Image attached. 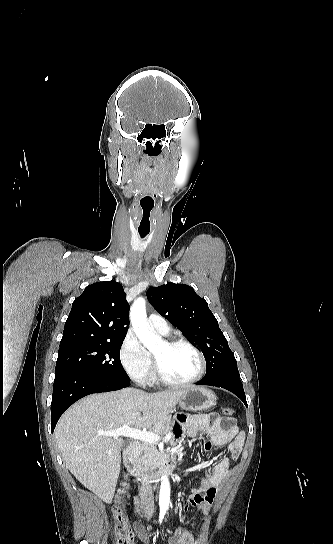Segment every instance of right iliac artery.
<instances>
[{
  "mask_svg": "<svg viewBox=\"0 0 333 544\" xmlns=\"http://www.w3.org/2000/svg\"><path fill=\"white\" fill-rule=\"evenodd\" d=\"M163 518H164V513H160V516H159L160 522L163 520Z\"/></svg>",
  "mask_w": 333,
  "mask_h": 544,
  "instance_id": "obj_1",
  "label": "right iliac artery"
}]
</instances>
